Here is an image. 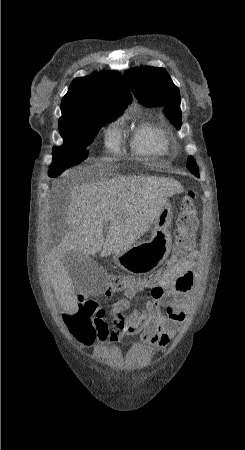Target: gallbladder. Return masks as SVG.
I'll use <instances>...</instances> for the list:
<instances>
[{
	"instance_id": "bac80fb5",
	"label": "gallbladder",
	"mask_w": 245,
	"mask_h": 450,
	"mask_svg": "<svg viewBox=\"0 0 245 450\" xmlns=\"http://www.w3.org/2000/svg\"><path fill=\"white\" fill-rule=\"evenodd\" d=\"M92 263L93 261L89 256L79 254L78 252L68 254L65 259V266L67 267L68 274L75 284L82 275L84 269Z\"/></svg>"
}]
</instances>
